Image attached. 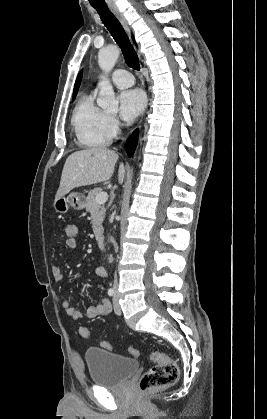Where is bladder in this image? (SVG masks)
<instances>
[{
    "label": "bladder",
    "mask_w": 267,
    "mask_h": 419,
    "mask_svg": "<svg viewBox=\"0 0 267 419\" xmlns=\"http://www.w3.org/2000/svg\"><path fill=\"white\" fill-rule=\"evenodd\" d=\"M85 361L92 383L104 388L121 387L139 369L136 359L99 347L88 348Z\"/></svg>",
    "instance_id": "obj_1"
}]
</instances>
